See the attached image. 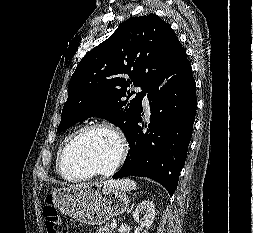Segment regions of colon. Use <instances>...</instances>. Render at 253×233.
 <instances>
[{
  "label": "colon",
  "mask_w": 253,
  "mask_h": 233,
  "mask_svg": "<svg viewBox=\"0 0 253 233\" xmlns=\"http://www.w3.org/2000/svg\"><path fill=\"white\" fill-rule=\"evenodd\" d=\"M47 233H67L66 225L52 203V196L47 197V204L43 208Z\"/></svg>",
  "instance_id": "obj_1"
}]
</instances>
